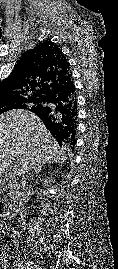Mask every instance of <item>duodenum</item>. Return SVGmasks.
Masks as SVG:
<instances>
[{
	"mask_svg": "<svg viewBox=\"0 0 118 269\" xmlns=\"http://www.w3.org/2000/svg\"><path fill=\"white\" fill-rule=\"evenodd\" d=\"M12 193L14 194L15 193V190H12ZM16 209V206H15V204H12L10 207H9V209H8V211L5 213V214H1V212H0V217H2V219L3 218H10L11 217V214L13 213V211Z\"/></svg>",
	"mask_w": 118,
	"mask_h": 269,
	"instance_id": "obj_1",
	"label": "duodenum"
}]
</instances>
